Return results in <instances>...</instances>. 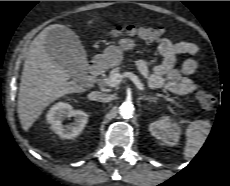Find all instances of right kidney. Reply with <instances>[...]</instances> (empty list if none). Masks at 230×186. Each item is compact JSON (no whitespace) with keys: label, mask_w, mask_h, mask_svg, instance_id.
Masks as SVG:
<instances>
[{"label":"right kidney","mask_w":230,"mask_h":186,"mask_svg":"<svg viewBox=\"0 0 230 186\" xmlns=\"http://www.w3.org/2000/svg\"><path fill=\"white\" fill-rule=\"evenodd\" d=\"M74 117V122L69 125H63L64 118ZM51 129L63 139H73L77 137L88 121V114L82 110H73L68 103L59 102L53 105L46 115Z\"/></svg>","instance_id":"obj_1"}]
</instances>
